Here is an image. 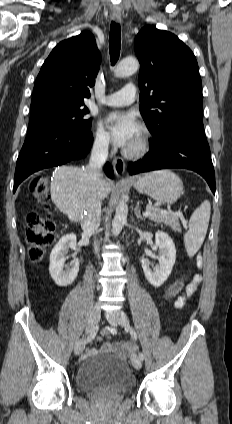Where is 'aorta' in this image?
Segmentation results:
<instances>
[{
    "label": "aorta",
    "mask_w": 232,
    "mask_h": 424,
    "mask_svg": "<svg viewBox=\"0 0 232 424\" xmlns=\"http://www.w3.org/2000/svg\"><path fill=\"white\" fill-rule=\"evenodd\" d=\"M138 69L139 63L135 58H125L114 68V75L119 78L130 76L136 73ZM127 215L128 206L126 202L121 199L116 207L115 216L112 221V233L114 236H117L121 232L127 221Z\"/></svg>",
    "instance_id": "aorta-1"
}]
</instances>
